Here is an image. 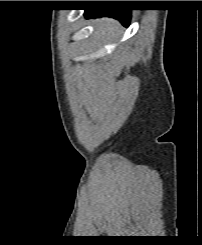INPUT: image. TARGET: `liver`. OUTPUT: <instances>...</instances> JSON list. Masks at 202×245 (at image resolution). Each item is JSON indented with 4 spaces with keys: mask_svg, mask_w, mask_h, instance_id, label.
I'll use <instances>...</instances> for the list:
<instances>
[{
    "mask_svg": "<svg viewBox=\"0 0 202 245\" xmlns=\"http://www.w3.org/2000/svg\"><path fill=\"white\" fill-rule=\"evenodd\" d=\"M96 22L95 39L98 40L101 38H111L119 28L118 22L112 19L103 18Z\"/></svg>",
    "mask_w": 202,
    "mask_h": 245,
    "instance_id": "obj_1",
    "label": "liver"
}]
</instances>
